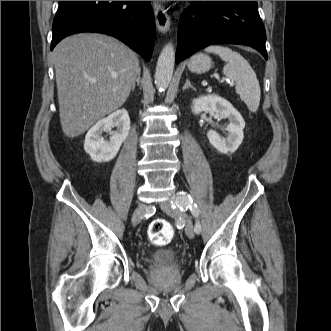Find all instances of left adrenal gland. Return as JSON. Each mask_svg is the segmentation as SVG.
I'll return each instance as SVG.
<instances>
[{"instance_id":"left-adrenal-gland-1","label":"left adrenal gland","mask_w":331,"mask_h":331,"mask_svg":"<svg viewBox=\"0 0 331 331\" xmlns=\"http://www.w3.org/2000/svg\"><path fill=\"white\" fill-rule=\"evenodd\" d=\"M187 88H191V89L195 90V88L191 85L189 79L186 80V82H185V84L183 86V90H186Z\"/></svg>"}]
</instances>
